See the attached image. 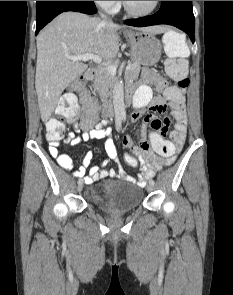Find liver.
Returning a JSON list of instances; mask_svg holds the SVG:
<instances>
[{"label":"liver","mask_w":233,"mask_h":295,"mask_svg":"<svg viewBox=\"0 0 233 295\" xmlns=\"http://www.w3.org/2000/svg\"><path fill=\"white\" fill-rule=\"evenodd\" d=\"M120 25L89 17L79 12H64L37 36L35 88L41 119L46 122L54 112L65 88L87 69L85 63L67 55L95 54L105 60L119 51ZM163 33L166 27L140 28Z\"/></svg>","instance_id":"1"}]
</instances>
